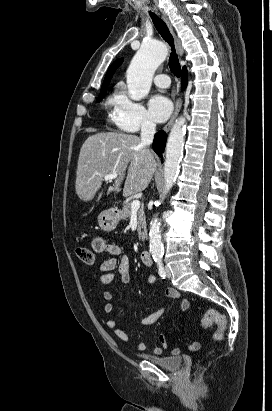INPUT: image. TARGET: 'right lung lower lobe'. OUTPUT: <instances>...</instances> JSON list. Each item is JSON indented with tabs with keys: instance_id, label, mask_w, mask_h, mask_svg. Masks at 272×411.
<instances>
[{
	"instance_id": "right-lung-lower-lobe-1",
	"label": "right lung lower lobe",
	"mask_w": 272,
	"mask_h": 411,
	"mask_svg": "<svg viewBox=\"0 0 272 411\" xmlns=\"http://www.w3.org/2000/svg\"><path fill=\"white\" fill-rule=\"evenodd\" d=\"M188 81V72L185 67L182 69V77H181V84L182 88L184 89L187 85ZM166 145V133L164 131H159L155 134L154 142H153V150L162 157V152L164 151Z\"/></svg>"
}]
</instances>
